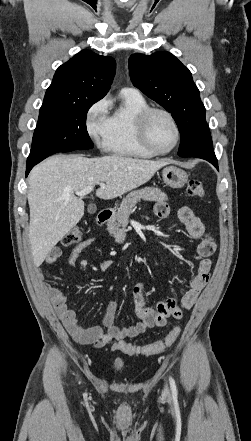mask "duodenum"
I'll return each instance as SVG.
<instances>
[{"mask_svg": "<svg viewBox=\"0 0 251 441\" xmlns=\"http://www.w3.org/2000/svg\"><path fill=\"white\" fill-rule=\"evenodd\" d=\"M114 210L111 208L101 210L97 215V223L102 226L106 224L113 216Z\"/></svg>", "mask_w": 251, "mask_h": 441, "instance_id": "obj_1", "label": "duodenum"}]
</instances>
